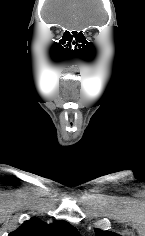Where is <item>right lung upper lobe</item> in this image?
<instances>
[{
	"label": "right lung upper lobe",
	"instance_id": "obj_1",
	"mask_svg": "<svg viewBox=\"0 0 145 236\" xmlns=\"http://www.w3.org/2000/svg\"><path fill=\"white\" fill-rule=\"evenodd\" d=\"M9 236H80V234L67 222L58 221L48 225L38 218H32L11 232Z\"/></svg>",
	"mask_w": 145,
	"mask_h": 236
}]
</instances>
